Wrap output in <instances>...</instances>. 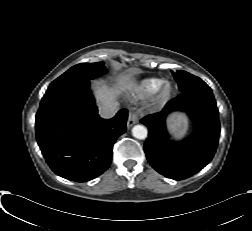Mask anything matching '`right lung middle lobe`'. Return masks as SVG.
Segmentation results:
<instances>
[{
    "mask_svg": "<svg viewBox=\"0 0 252 231\" xmlns=\"http://www.w3.org/2000/svg\"><path fill=\"white\" fill-rule=\"evenodd\" d=\"M104 73H106V69L103 62L77 64L54 80L46 92L74 83L89 81L90 79L99 77Z\"/></svg>",
    "mask_w": 252,
    "mask_h": 231,
    "instance_id": "dd1d6c3e",
    "label": "right lung middle lobe"
}]
</instances>
